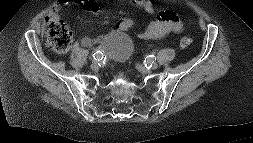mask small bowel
<instances>
[{
  "instance_id": "c3829d8e",
  "label": "small bowel",
  "mask_w": 253,
  "mask_h": 143,
  "mask_svg": "<svg viewBox=\"0 0 253 143\" xmlns=\"http://www.w3.org/2000/svg\"><path fill=\"white\" fill-rule=\"evenodd\" d=\"M131 2L143 9L145 12L153 15L154 5L152 0H131ZM80 3L83 8L88 12H94L97 9L98 0H61L59 5L54 7L49 12V18L59 19V9L64 4ZM134 24L131 18L120 19L114 29L108 34H100L96 37H83L80 40V44L84 47H91L94 44H100L105 42L109 36L125 32L129 30ZM182 30V24L179 16L176 12L172 10H163L157 14V16L152 19L144 29L139 33V38L143 40L158 39L166 36L170 33H180ZM129 52L127 50H122L119 54L120 59H125L128 57Z\"/></svg>"
}]
</instances>
